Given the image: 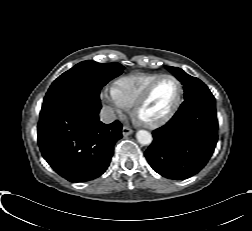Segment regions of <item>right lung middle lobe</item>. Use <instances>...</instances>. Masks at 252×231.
Masks as SVG:
<instances>
[{"instance_id":"right-lung-middle-lobe-1","label":"right lung middle lobe","mask_w":252,"mask_h":231,"mask_svg":"<svg viewBox=\"0 0 252 231\" xmlns=\"http://www.w3.org/2000/svg\"><path fill=\"white\" fill-rule=\"evenodd\" d=\"M124 67L119 63L83 61L59 76L50 86L43 106L65 98H81L100 103L101 88L119 76Z\"/></svg>"}]
</instances>
